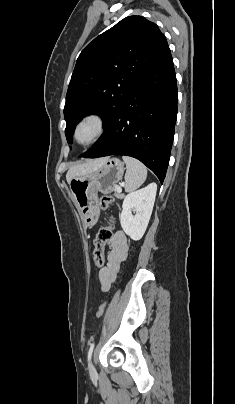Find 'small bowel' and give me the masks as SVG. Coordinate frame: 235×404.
Masks as SVG:
<instances>
[{
    "label": "small bowel",
    "mask_w": 235,
    "mask_h": 404,
    "mask_svg": "<svg viewBox=\"0 0 235 404\" xmlns=\"http://www.w3.org/2000/svg\"><path fill=\"white\" fill-rule=\"evenodd\" d=\"M110 246L111 250L107 256V263L99 270L97 276L102 292L110 290L120 270L121 264L128 255L127 238L122 231H118L113 235Z\"/></svg>",
    "instance_id": "1"
}]
</instances>
